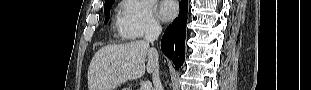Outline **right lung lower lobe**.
Here are the masks:
<instances>
[{"label":"right lung lower lobe","instance_id":"obj_1","mask_svg":"<svg viewBox=\"0 0 311 90\" xmlns=\"http://www.w3.org/2000/svg\"><path fill=\"white\" fill-rule=\"evenodd\" d=\"M187 4V0H181L179 15L167 27L161 41V50L177 68L181 67L184 62Z\"/></svg>","mask_w":311,"mask_h":90}]
</instances>
